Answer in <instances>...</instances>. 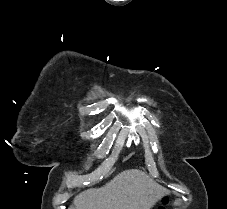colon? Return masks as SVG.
<instances>
[{"label":"colon","mask_w":227,"mask_h":209,"mask_svg":"<svg viewBox=\"0 0 227 209\" xmlns=\"http://www.w3.org/2000/svg\"><path fill=\"white\" fill-rule=\"evenodd\" d=\"M170 205V199L168 196H164L161 200L160 205L158 206V209H168Z\"/></svg>","instance_id":"obj_1"}]
</instances>
